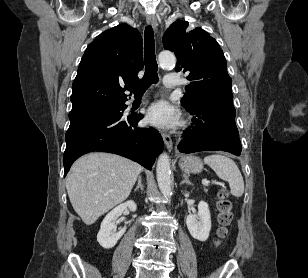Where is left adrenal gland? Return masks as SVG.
<instances>
[{
  "label": "left adrenal gland",
  "instance_id": "left-adrenal-gland-1",
  "mask_svg": "<svg viewBox=\"0 0 308 278\" xmlns=\"http://www.w3.org/2000/svg\"><path fill=\"white\" fill-rule=\"evenodd\" d=\"M184 180L181 182V185L183 184H188V185H193L190 181H189V177L186 174H183Z\"/></svg>",
  "mask_w": 308,
  "mask_h": 278
}]
</instances>
